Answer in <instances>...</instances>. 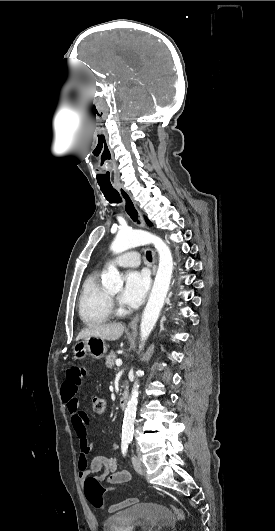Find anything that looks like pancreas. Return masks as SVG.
Instances as JSON below:
<instances>
[{"mask_svg":"<svg viewBox=\"0 0 275 531\" xmlns=\"http://www.w3.org/2000/svg\"><path fill=\"white\" fill-rule=\"evenodd\" d=\"M116 353H114V351H111V353H109V355H107L106 357V367H108V369H112V367H114V363L116 361Z\"/></svg>","mask_w":275,"mask_h":531,"instance_id":"1","label":"pancreas"}]
</instances>
